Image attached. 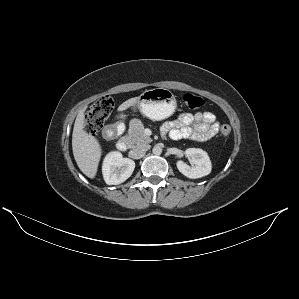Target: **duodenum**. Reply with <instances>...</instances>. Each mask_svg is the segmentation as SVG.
I'll return each mask as SVG.
<instances>
[{
	"mask_svg": "<svg viewBox=\"0 0 299 299\" xmlns=\"http://www.w3.org/2000/svg\"><path fill=\"white\" fill-rule=\"evenodd\" d=\"M124 131V126L121 123L111 124L104 130V136L108 139H112L117 135H120ZM116 147L120 151H126L128 149L127 139L120 137L116 141Z\"/></svg>",
	"mask_w": 299,
	"mask_h": 299,
	"instance_id": "obj_1",
	"label": "duodenum"
}]
</instances>
